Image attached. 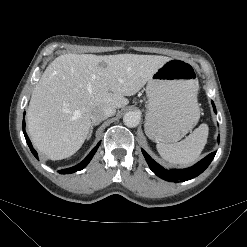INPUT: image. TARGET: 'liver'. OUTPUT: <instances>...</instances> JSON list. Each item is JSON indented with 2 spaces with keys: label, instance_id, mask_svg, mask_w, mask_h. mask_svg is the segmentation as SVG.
Instances as JSON below:
<instances>
[{
  "label": "liver",
  "instance_id": "liver-1",
  "mask_svg": "<svg viewBox=\"0 0 247 247\" xmlns=\"http://www.w3.org/2000/svg\"><path fill=\"white\" fill-rule=\"evenodd\" d=\"M171 58L157 55L65 54L55 58L35 86L27 111L33 145L47 159L72 156L84 143L95 108L125 107Z\"/></svg>",
  "mask_w": 247,
  "mask_h": 247
}]
</instances>
